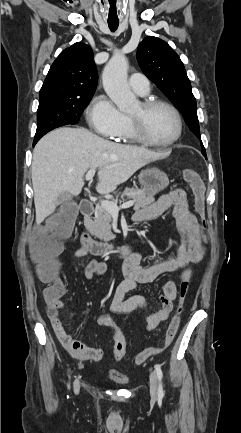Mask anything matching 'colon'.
<instances>
[{
	"label": "colon",
	"instance_id": "colon-1",
	"mask_svg": "<svg viewBox=\"0 0 241 433\" xmlns=\"http://www.w3.org/2000/svg\"><path fill=\"white\" fill-rule=\"evenodd\" d=\"M184 176L190 183L193 194L195 210L200 215L204 214V185L200 180L198 173L192 169L184 170ZM58 214L49 219L48 225L34 237L30 253L33 260L38 265V274L42 281L50 283L51 286L44 291L46 300H53L63 291V285L57 280L56 256L62 249V241L67 238L72 230L74 214H80V205H75L73 200H62L57 208ZM190 276L183 275L180 280V298L184 299ZM180 309L170 321L164 338L163 347L168 346L175 338L180 325ZM107 318V315H104ZM117 318V315H114ZM111 321V318H108ZM112 327V325H110ZM126 338L121 330L114 329V347L113 352L117 360L125 355ZM160 349L147 348L139 352L135 358V364L140 365L152 358Z\"/></svg>",
	"mask_w": 241,
	"mask_h": 433
}]
</instances>
